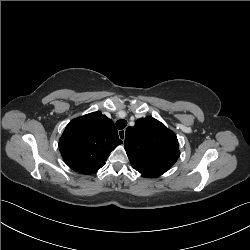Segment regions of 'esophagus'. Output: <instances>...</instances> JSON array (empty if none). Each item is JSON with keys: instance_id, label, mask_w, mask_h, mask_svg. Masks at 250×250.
Masks as SVG:
<instances>
[{"instance_id": "34e87169", "label": "esophagus", "mask_w": 250, "mask_h": 250, "mask_svg": "<svg viewBox=\"0 0 250 250\" xmlns=\"http://www.w3.org/2000/svg\"><path fill=\"white\" fill-rule=\"evenodd\" d=\"M119 138L124 141L125 140V130H119L118 131Z\"/></svg>"}]
</instances>
